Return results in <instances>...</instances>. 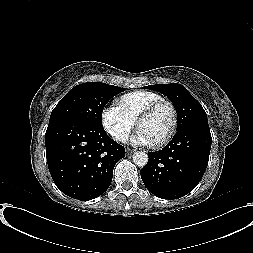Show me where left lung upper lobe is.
<instances>
[{"label": "left lung upper lobe", "instance_id": "left-lung-upper-lobe-1", "mask_svg": "<svg viewBox=\"0 0 253 253\" xmlns=\"http://www.w3.org/2000/svg\"><path fill=\"white\" fill-rule=\"evenodd\" d=\"M145 88L158 91L172 101L178 117L177 130L191 123H208L206 112L201 104L181 84H158Z\"/></svg>", "mask_w": 253, "mask_h": 253}]
</instances>
